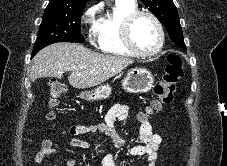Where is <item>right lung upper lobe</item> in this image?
<instances>
[{
    "label": "right lung upper lobe",
    "instance_id": "1",
    "mask_svg": "<svg viewBox=\"0 0 227 166\" xmlns=\"http://www.w3.org/2000/svg\"><path fill=\"white\" fill-rule=\"evenodd\" d=\"M88 0H50L45 11H77L82 10Z\"/></svg>",
    "mask_w": 227,
    "mask_h": 166
}]
</instances>
